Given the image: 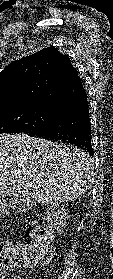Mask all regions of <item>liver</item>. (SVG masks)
<instances>
[{
  "mask_svg": "<svg viewBox=\"0 0 113 279\" xmlns=\"http://www.w3.org/2000/svg\"><path fill=\"white\" fill-rule=\"evenodd\" d=\"M94 179L93 161L79 148L0 134V197L58 206L85 194Z\"/></svg>",
  "mask_w": 113,
  "mask_h": 279,
  "instance_id": "obj_1",
  "label": "liver"
}]
</instances>
